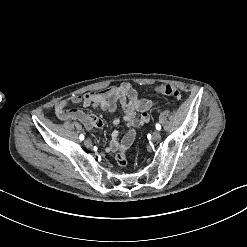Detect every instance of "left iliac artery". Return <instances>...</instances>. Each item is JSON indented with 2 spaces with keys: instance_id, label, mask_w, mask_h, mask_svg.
<instances>
[{
  "instance_id": "1",
  "label": "left iliac artery",
  "mask_w": 247,
  "mask_h": 247,
  "mask_svg": "<svg viewBox=\"0 0 247 247\" xmlns=\"http://www.w3.org/2000/svg\"><path fill=\"white\" fill-rule=\"evenodd\" d=\"M156 129H157V130H160V129H161V125L157 123V124H156Z\"/></svg>"
}]
</instances>
